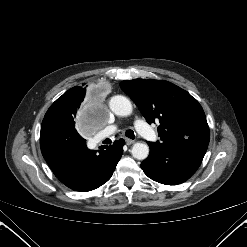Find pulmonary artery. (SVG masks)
<instances>
[{
  "mask_svg": "<svg viewBox=\"0 0 247 247\" xmlns=\"http://www.w3.org/2000/svg\"><path fill=\"white\" fill-rule=\"evenodd\" d=\"M135 127L137 129V131L144 136L145 138H147L148 140H154L155 139V134L154 132L147 126V124L141 120V119H137L135 121ZM116 126L115 125H111L108 126L105 130H104V134H110L113 133L116 130Z\"/></svg>",
  "mask_w": 247,
  "mask_h": 247,
  "instance_id": "e3ab8cb5",
  "label": "pulmonary artery"
}]
</instances>
